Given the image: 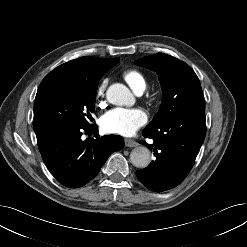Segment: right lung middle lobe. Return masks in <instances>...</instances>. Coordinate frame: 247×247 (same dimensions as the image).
Returning <instances> with one entry per match:
<instances>
[{"label":"right lung middle lobe","mask_w":247,"mask_h":247,"mask_svg":"<svg viewBox=\"0 0 247 247\" xmlns=\"http://www.w3.org/2000/svg\"><path fill=\"white\" fill-rule=\"evenodd\" d=\"M119 62V58L111 67ZM110 67V68H111ZM97 86L67 81L40 84L34 102L33 127L41 124H68L88 127L94 119Z\"/></svg>","instance_id":"obj_1"}]
</instances>
